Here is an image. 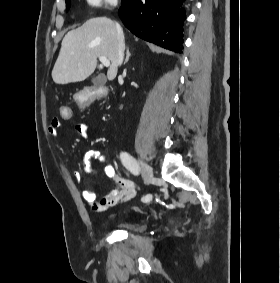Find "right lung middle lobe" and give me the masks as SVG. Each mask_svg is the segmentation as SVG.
Instances as JSON below:
<instances>
[{
    "mask_svg": "<svg viewBox=\"0 0 280 283\" xmlns=\"http://www.w3.org/2000/svg\"><path fill=\"white\" fill-rule=\"evenodd\" d=\"M124 0H122L123 2ZM70 8V0H66V10H69Z\"/></svg>",
    "mask_w": 280,
    "mask_h": 283,
    "instance_id": "dd1d6c3e",
    "label": "right lung middle lobe"
}]
</instances>
